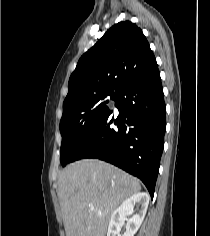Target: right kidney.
Returning <instances> with one entry per match:
<instances>
[{
    "mask_svg": "<svg viewBox=\"0 0 210 236\" xmlns=\"http://www.w3.org/2000/svg\"><path fill=\"white\" fill-rule=\"evenodd\" d=\"M149 200V195L144 192L125 199L111 216L107 236H120L123 221L127 217L130 218L127 220L126 232L122 236H134L143 222ZM135 205L138 206L136 213H134Z\"/></svg>",
    "mask_w": 210,
    "mask_h": 236,
    "instance_id": "ca27d5eb",
    "label": "right kidney"
}]
</instances>
